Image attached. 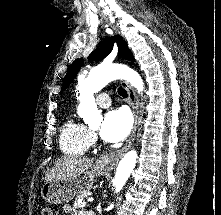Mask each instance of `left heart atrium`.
Instances as JSON below:
<instances>
[{"mask_svg": "<svg viewBox=\"0 0 221 215\" xmlns=\"http://www.w3.org/2000/svg\"><path fill=\"white\" fill-rule=\"evenodd\" d=\"M131 128V119L124 109L111 110L106 113L100 128L101 137L107 142L123 140Z\"/></svg>", "mask_w": 221, "mask_h": 215, "instance_id": "left-heart-atrium-1", "label": "left heart atrium"}]
</instances>
